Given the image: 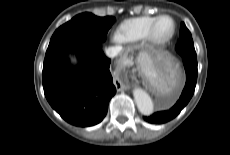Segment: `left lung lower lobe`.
Listing matches in <instances>:
<instances>
[{"label": "left lung lower lobe", "instance_id": "0a47b994", "mask_svg": "<svg viewBox=\"0 0 230 155\" xmlns=\"http://www.w3.org/2000/svg\"><path fill=\"white\" fill-rule=\"evenodd\" d=\"M181 56L186 71V84L179 100L169 110L156 112L150 116H144L143 118L146 122L151 124L166 123L175 118L190 101L197 81V57L196 54H184Z\"/></svg>", "mask_w": 230, "mask_h": 155}]
</instances>
